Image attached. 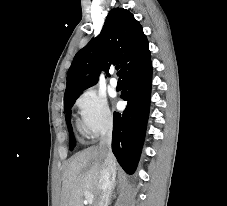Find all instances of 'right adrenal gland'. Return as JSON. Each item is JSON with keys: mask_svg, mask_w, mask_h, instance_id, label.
<instances>
[{"mask_svg": "<svg viewBox=\"0 0 227 206\" xmlns=\"http://www.w3.org/2000/svg\"><path fill=\"white\" fill-rule=\"evenodd\" d=\"M115 187H116V183H114V185L112 187V190H111V193H110V198H109V201H108V205H110V203H111V197H112V194H113Z\"/></svg>", "mask_w": 227, "mask_h": 206, "instance_id": "1", "label": "right adrenal gland"}]
</instances>
